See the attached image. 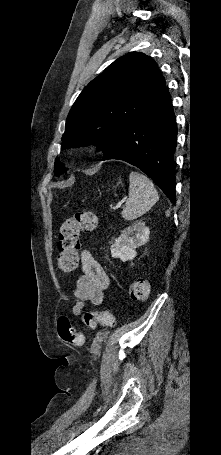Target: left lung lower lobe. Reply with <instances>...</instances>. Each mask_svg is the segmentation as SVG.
Returning <instances> with one entry per match:
<instances>
[{"label": "left lung lower lobe", "instance_id": "1", "mask_svg": "<svg viewBox=\"0 0 221 455\" xmlns=\"http://www.w3.org/2000/svg\"><path fill=\"white\" fill-rule=\"evenodd\" d=\"M176 139L175 115L166 90L149 109L126 126L104 152L102 160L118 159L138 167L175 203Z\"/></svg>", "mask_w": 221, "mask_h": 455}]
</instances>
